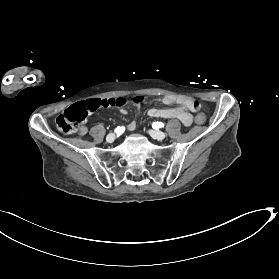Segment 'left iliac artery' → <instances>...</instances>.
I'll return each mask as SVG.
<instances>
[{
  "label": "left iliac artery",
  "instance_id": "obj_1",
  "mask_svg": "<svg viewBox=\"0 0 279 279\" xmlns=\"http://www.w3.org/2000/svg\"><path fill=\"white\" fill-rule=\"evenodd\" d=\"M152 127H153L154 129L163 128V127H164V123H162V122H154V123L152 124Z\"/></svg>",
  "mask_w": 279,
  "mask_h": 279
}]
</instances>
